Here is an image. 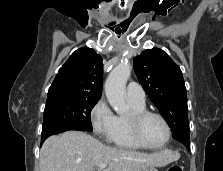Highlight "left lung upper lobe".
I'll return each instance as SVG.
<instances>
[{"label":"left lung upper lobe","mask_w":223,"mask_h":171,"mask_svg":"<svg viewBox=\"0 0 223 171\" xmlns=\"http://www.w3.org/2000/svg\"><path fill=\"white\" fill-rule=\"evenodd\" d=\"M134 70L146 94L171 128L172 137L189 146L187 95L179 66L165 51L152 48L134 58Z\"/></svg>","instance_id":"1"}]
</instances>
